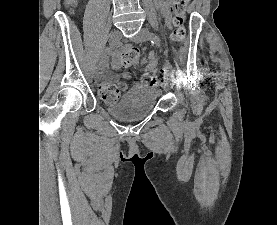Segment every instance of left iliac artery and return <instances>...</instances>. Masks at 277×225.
<instances>
[{
	"label": "left iliac artery",
	"instance_id": "obj_1",
	"mask_svg": "<svg viewBox=\"0 0 277 225\" xmlns=\"http://www.w3.org/2000/svg\"><path fill=\"white\" fill-rule=\"evenodd\" d=\"M148 37H149V40L151 41L152 44H155L156 46H160V39H159V37L156 34L150 32L148 34ZM165 71L170 76H174V74H175L174 70L166 69Z\"/></svg>",
	"mask_w": 277,
	"mask_h": 225
}]
</instances>
